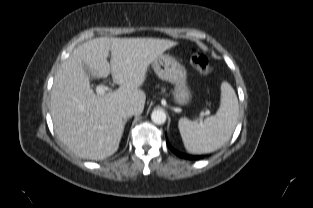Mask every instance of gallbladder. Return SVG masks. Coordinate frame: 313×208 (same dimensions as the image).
Wrapping results in <instances>:
<instances>
[{"instance_id": "bac80fb5", "label": "gallbladder", "mask_w": 313, "mask_h": 208, "mask_svg": "<svg viewBox=\"0 0 313 208\" xmlns=\"http://www.w3.org/2000/svg\"><path fill=\"white\" fill-rule=\"evenodd\" d=\"M84 69H85V72L87 73V75L90 76L91 73H90V71L86 65H84Z\"/></svg>"}]
</instances>
